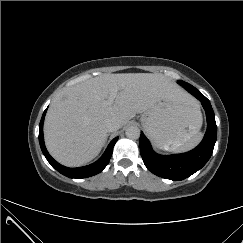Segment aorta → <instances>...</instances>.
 <instances>
[{
  "mask_svg": "<svg viewBox=\"0 0 243 243\" xmlns=\"http://www.w3.org/2000/svg\"><path fill=\"white\" fill-rule=\"evenodd\" d=\"M125 134L127 138L136 140L140 137V129L136 126H130L126 129Z\"/></svg>",
  "mask_w": 243,
  "mask_h": 243,
  "instance_id": "obj_1",
  "label": "aorta"
}]
</instances>
